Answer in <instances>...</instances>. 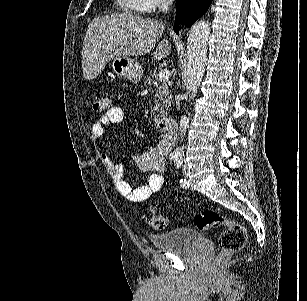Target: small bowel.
I'll return each instance as SVG.
<instances>
[{
    "label": "small bowel",
    "mask_w": 307,
    "mask_h": 301,
    "mask_svg": "<svg viewBox=\"0 0 307 301\" xmlns=\"http://www.w3.org/2000/svg\"><path fill=\"white\" fill-rule=\"evenodd\" d=\"M124 119V111L120 107H111L104 115L96 121L90 131V136L94 141L99 142L104 134L107 125L119 124ZM170 143L165 138L147 152L137 154L133 157L134 162L142 171H149L145 185L133 188L123 179V168L115 162L111 156L105 152L101 154V161L107 172L110 174L118 192L133 202L147 200L153 193L159 192L166 181L164 175V157L168 152Z\"/></svg>",
    "instance_id": "1"
}]
</instances>
